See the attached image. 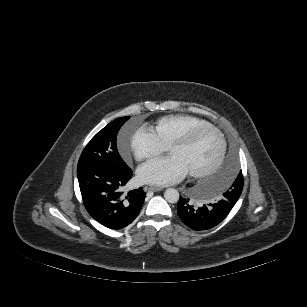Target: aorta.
Instances as JSON below:
<instances>
[{"label": "aorta", "mask_w": 307, "mask_h": 307, "mask_svg": "<svg viewBox=\"0 0 307 307\" xmlns=\"http://www.w3.org/2000/svg\"><path fill=\"white\" fill-rule=\"evenodd\" d=\"M164 198L168 203H176L179 200V192L174 188H168L164 192Z\"/></svg>", "instance_id": "1"}]
</instances>
